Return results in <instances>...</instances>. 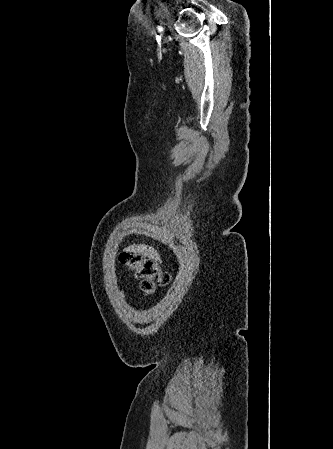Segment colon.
<instances>
[{
	"label": "colon",
	"mask_w": 333,
	"mask_h": 449,
	"mask_svg": "<svg viewBox=\"0 0 333 449\" xmlns=\"http://www.w3.org/2000/svg\"><path fill=\"white\" fill-rule=\"evenodd\" d=\"M119 260L141 280V289L146 293H151L157 287L165 286L170 281V275L162 271L159 263L154 259L125 251L120 254Z\"/></svg>",
	"instance_id": "5ec220e1"
}]
</instances>
